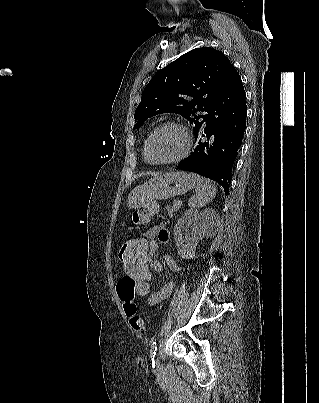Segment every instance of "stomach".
I'll list each match as a JSON object with an SVG mask.
<instances>
[{
  "label": "stomach",
  "instance_id": "stomach-1",
  "mask_svg": "<svg viewBox=\"0 0 319 403\" xmlns=\"http://www.w3.org/2000/svg\"><path fill=\"white\" fill-rule=\"evenodd\" d=\"M194 186L195 181L186 172H168L134 188L129 194L128 206L141 208L152 200L183 195Z\"/></svg>",
  "mask_w": 319,
  "mask_h": 403
}]
</instances>
